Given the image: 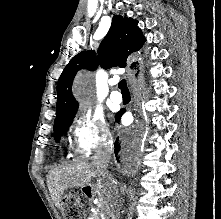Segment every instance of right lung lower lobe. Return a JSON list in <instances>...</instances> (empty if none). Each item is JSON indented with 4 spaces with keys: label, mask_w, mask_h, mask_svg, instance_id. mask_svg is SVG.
<instances>
[{
    "label": "right lung lower lobe",
    "mask_w": 221,
    "mask_h": 219,
    "mask_svg": "<svg viewBox=\"0 0 221 219\" xmlns=\"http://www.w3.org/2000/svg\"><path fill=\"white\" fill-rule=\"evenodd\" d=\"M124 112H125L124 110H121L117 113V115L115 116L117 121L120 120V118H121V116L123 115ZM114 147H115L114 153L118 154V155H122L124 152H127V150H128V148L126 146H124L123 144H121L119 142V138H117V140L115 141ZM117 160H118V158H117Z\"/></svg>",
    "instance_id": "98d812e1"
}]
</instances>
